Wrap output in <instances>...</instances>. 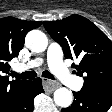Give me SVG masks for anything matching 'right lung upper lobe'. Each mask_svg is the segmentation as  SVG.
Segmentation results:
<instances>
[{
    "mask_svg": "<svg viewBox=\"0 0 112 112\" xmlns=\"http://www.w3.org/2000/svg\"><path fill=\"white\" fill-rule=\"evenodd\" d=\"M40 21H25L13 17L0 19V112H4L14 100L23 80H9L8 62L17 57L24 46L26 34L39 27Z\"/></svg>",
    "mask_w": 112,
    "mask_h": 112,
    "instance_id": "obj_1",
    "label": "right lung upper lobe"
}]
</instances>
